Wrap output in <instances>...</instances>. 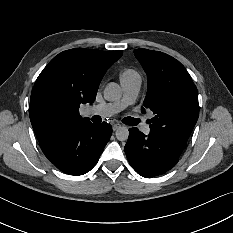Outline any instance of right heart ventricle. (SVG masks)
Masks as SVG:
<instances>
[{
	"label": "right heart ventricle",
	"mask_w": 233,
	"mask_h": 233,
	"mask_svg": "<svg viewBox=\"0 0 233 233\" xmlns=\"http://www.w3.org/2000/svg\"><path fill=\"white\" fill-rule=\"evenodd\" d=\"M121 83H131L141 81L139 72L134 68H125L120 72Z\"/></svg>",
	"instance_id": "1"
}]
</instances>
